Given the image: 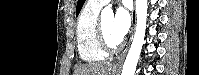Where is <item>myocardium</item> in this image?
Here are the masks:
<instances>
[{"label":"myocardium","instance_id":"obj_1","mask_svg":"<svg viewBox=\"0 0 199 75\" xmlns=\"http://www.w3.org/2000/svg\"><path fill=\"white\" fill-rule=\"evenodd\" d=\"M96 38L100 48L106 53L117 52L122 46L121 41L115 45L108 43L103 32L102 19H98L96 24Z\"/></svg>","mask_w":199,"mask_h":75}]
</instances>
